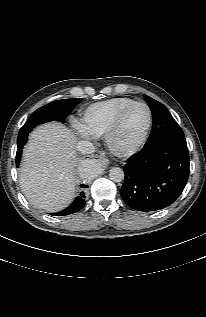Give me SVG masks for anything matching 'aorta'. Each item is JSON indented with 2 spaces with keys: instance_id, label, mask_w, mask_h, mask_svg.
Listing matches in <instances>:
<instances>
[{
  "instance_id": "1",
  "label": "aorta",
  "mask_w": 206,
  "mask_h": 317,
  "mask_svg": "<svg viewBox=\"0 0 206 317\" xmlns=\"http://www.w3.org/2000/svg\"><path fill=\"white\" fill-rule=\"evenodd\" d=\"M99 163L94 160L86 161L81 166V174L84 178L90 179L98 175ZM109 178L114 182H121L124 179V171L119 167H113L109 171Z\"/></svg>"
}]
</instances>
